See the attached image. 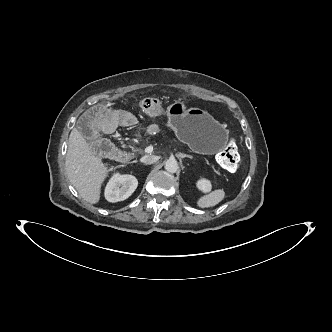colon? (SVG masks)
<instances>
[{
  "label": "colon",
  "mask_w": 332,
  "mask_h": 332,
  "mask_svg": "<svg viewBox=\"0 0 332 332\" xmlns=\"http://www.w3.org/2000/svg\"><path fill=\"white\" fill-rule=\"evenodd\" d=\"M92 147L101 155H107L114 150L112 143L107 139H100L92 143ZM218 162L225 170L235 172L241 163L234 139L229 140L225 147L219 152Z\"/></svg>",
  "instance_id": "obj_1"
}]
</instances>
